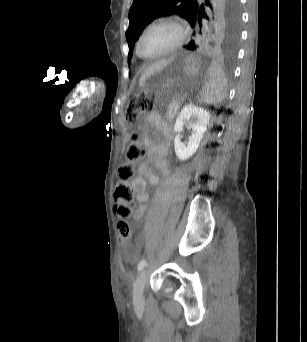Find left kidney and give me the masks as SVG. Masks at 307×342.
Returning a JSON list of instances; mask_svg holds the SVG:
<instances>
[{"instance_id": "obj_1", "label": "left kidney", "mask_w": 307, "mask_h": 342, "mask_svg": "<svg viewBox=\"0 0 307 342\" xmlns=\"http://www.w3.org/2000/svg\"><path fill=\"white\" fill-rule=\"evenodd\" d=\"M195 118V120H193ZM210 114L203 108H198L194 104H188L181 110L178 118H176L174 130L177 132L174 140V148L177 158L179 160H188L195 154L199 144L207 130L209 124ZM185 122H188L189 128H192V134L188 138L187 144L181 142V132Z\"/></svg>"}]
</instances>
